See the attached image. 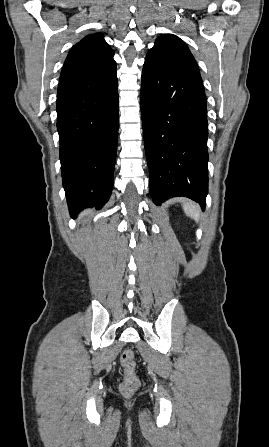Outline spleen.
I'll return each instance as SVG.
<instances>
[{
    "label": "spleen",
    "mask_w": 269,
    "mask_h": 447,
    "mask_svg": "<svg viewBox=\"0 0 269 447\" xmlns=\"http://www.w3.org/2000/svg\"><path fill=\"white\" fill-rule=\"evenodd\" d=\"M183 210L186 214V216H189V218H193L195 222H199V208L197 204H194V202H191V200H186L183 204Z\"/></svg>",
    "instance_id": "3e777b00"
}]
</instances>
